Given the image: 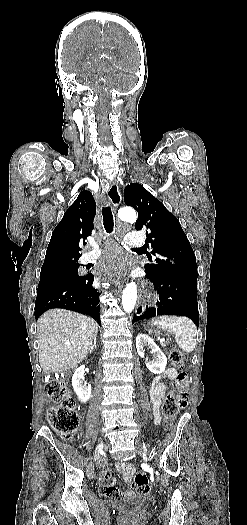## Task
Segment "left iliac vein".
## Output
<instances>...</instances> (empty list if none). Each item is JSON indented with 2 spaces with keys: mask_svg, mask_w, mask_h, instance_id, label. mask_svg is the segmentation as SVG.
Wrapping results in <instances>:
<instances>
[{
  "mask_svg": "<svg viewBox=\"0 0 247 525\" xmlns=\"http://www.w3.org/2000/svg\"><path fill=\"white\" fill-rule=\"evenodd\" d=\"M144 456H148V452L146 450L143 451Z\"/></svg>",
  "mask_w": 247,
  "mask_h": 525,
  "instance_id": "obj_1",
  "label": "left iliac vein"
}]
</instances>
